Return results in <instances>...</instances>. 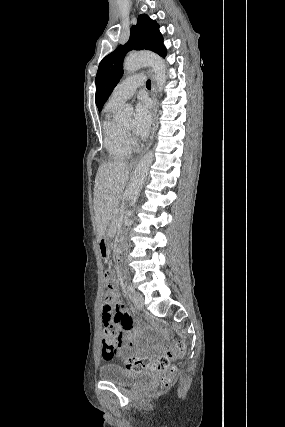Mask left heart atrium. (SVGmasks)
<instances>
[{
	"mask_svg": "<svg viewBox=\"0 0 285 427\" xmlns=\"http://www.w3.org/2000/svg\"><path fill=\"white\" fill-rule=\"evenodd\" d=\"M151 122V113L147 102L139 99L135 106L133 131L137 137L147 135Z\"/></svg>",
	"mask_w": 285,
	"mask_h": 427,
	"instance_id": "39dd6f15",
	"label": "left heart atrium"
}]
</instances>
